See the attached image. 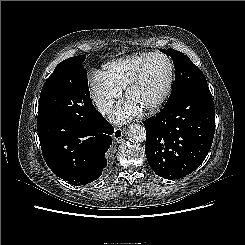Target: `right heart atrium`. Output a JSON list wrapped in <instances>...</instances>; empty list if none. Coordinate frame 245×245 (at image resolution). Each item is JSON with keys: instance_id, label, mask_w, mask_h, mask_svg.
<instances>
[{"instance_id": "right-heart-atrium-1", "label": "right heart atrium", "mask_w": 245, "mask_h": 245, "mask_svg": "<svg viewBox=\"0 0 245 245\" xmlns=\"http://www.w3.org/2000/svg\"><path fill=\"white\" fill-rule=\"evenodd\" d=\"M90 83L92 97L98 110L103 114L109 112L121 98V90L112 85L100 71H94L91 74Z\"/></svg>"}]
</instances>
